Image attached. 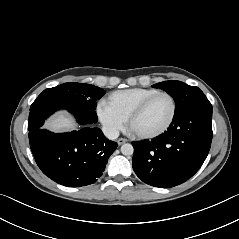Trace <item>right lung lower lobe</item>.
Wrapping results in <instances>:
<instances>
[{
  "label": "right lung lower lobe",
  "instance_id": "right-lung-lower-lobe-1",
  "mask_svg": "<svg viewBox=\"0 0 239 239\" xmlns=\"http://www.w3.org/2000/svg\"><path fill=\"white\" fill-rule=\"evenodd\" d=\"M81 125L89 122L78 119ZM44 122V120H43ZM43 122L29 130V142L41 171L53 181L68 187L93 184L102 175L117 143L108 140L98 128L55 134L41 129Z\"/></svg>",
  "mask_w": 239,
  "mask_h": 239
}]
</instances>
